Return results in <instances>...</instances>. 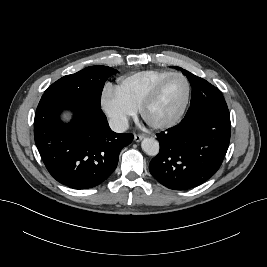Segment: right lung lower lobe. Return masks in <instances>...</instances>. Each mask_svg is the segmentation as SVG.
<instances>
[{
    "label": "right lung lower lobe",
    "mask_w": 267,
    "mask_h": 267,
    "mask_svg": "<svg viewBox=\"0 0 267 267\" xmlns=\"http://www.w3.org/2000/svg\"><path fill=\"white\" fill-rule=\"evenodd\" d=\"M70 109L65 124L60 113ZM34 137L52 177L73 189H88L105 181L118 164L121 149L133 140L131 133H115L101 109L56 96H42L34 120Z\"/></svg>",
    "instance_id": "right-lung-lower-lobe-1"
}]
</instances>
